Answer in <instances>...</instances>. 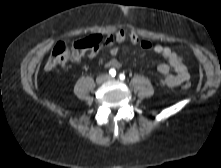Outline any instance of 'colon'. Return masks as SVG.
Wrapping results in <instances>:
<instances>
[{
  "mask_svg": "<svg viewBox=\"0 0 221 168\" xmlns=\"http://www.w3.org/2000/svg\"><path fill=\"white\" fill-rule=\"evenodd\" d=\"M128 41L132 44L140 42V36L137 32L129 31L125 28H118L114 33H108L102 36H90L87 39L76 41L71 48L64 43H58L54 46L49 58L45 63L46 70H53L58 66H62L68 61H75L80 59L88 49H96L100 41L106 46H111L115 43ZM184 89H189L190 84L186 83Z\"/></svg>",
  "mask_w": 221,
  "mask_h": 168,
  "instance_id": "1",
  "label": "colon"
}]
</instances>
